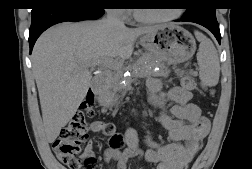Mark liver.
I'll return each mask as SVG.
<instances>
[{
  "mask_svg": "<svg viewBox=\"0 0 252 169\" xmlns=\"http://www.w3.org/2000/svg\"><path fill=\"white\" fill-rule=\"evenodd\" d=\"M159 27L119 28L105 19L65 22L38 38L31 60L49 143L86 97L92 79L89 68L106 58L129 59L136 39Z\"/></svg>",
  "mask_w": 252,
  "mask_h": 169,
  "instance_id": "liver-1",
  "label": "liver"
}]
</instances>
